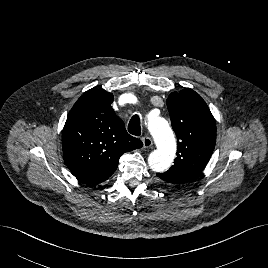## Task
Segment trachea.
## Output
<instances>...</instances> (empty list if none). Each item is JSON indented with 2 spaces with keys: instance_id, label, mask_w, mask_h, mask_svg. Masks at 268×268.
<instances>
[{
  "instance_id": "1",
  "label": "trachea",
  "mask_w": 268,
  "mask_h": 268,
  "mask_svg": "<svg viewBox=\"0 0 268 268\" xmlns=\"http://www.w3.org/2000/svg\"><path fill=\"white\" fill-rule=\"evenodd\" d=\"M128 131L130 134L134 136H140L141 135V126H140V118L138 115H134L129 124H128Z\"/></svg>"
}]
</instances>
